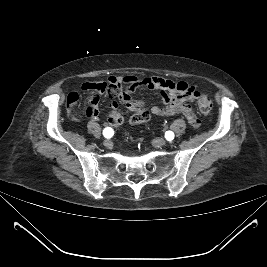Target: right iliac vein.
Segmentation results:
<instances>
[{"label":"right iliac vein","mask_w":267,"mask_h":267,"mask_svg":"<svg viewBox=\"0 0 267 267\" xmlns=\"http://www.w3.org/2000/svg\"><path fill=\"white\" fill-rule=\"evenodd\" d=\"M103 145H104L105 147L109 148V147L112 146V142H111V140L106 139V140L103 141Z\"/></svg>","instance_id":"63e3f726"}]
</instances>
